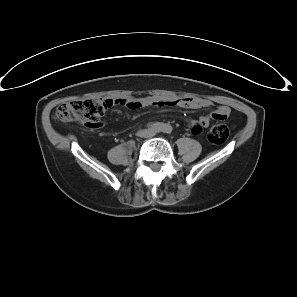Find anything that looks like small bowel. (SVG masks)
I'll return each instance as SVG.
<instances>
[{
    "instance_id": "1",
    "label": "small bowel",
    "mask_w": 297,
    "mask_h": 297,
    "mask_svg": "<svg viewBox=\"0 0 297 297\" xmlns=\"http://www.w3.org/2000/svg\"><path fill=\"white\" fill-rule=\"evenodd\" d=\"M112 104L122 105L130 109H138L145 107H179L183 109L196 110L212 106V102L201 98H172V99H154L145 97L135 99L132 97L118 98L111 100ZM230 115V108L225 105L217 106L216 110L211 114L204 115L199 120H190L188 126L194 134H199L202 128L208 127L211 121H224ZM84 128L90 131H101L108 128L106 120L97 121L96 119H87Z\"/></svg>"
}]
</instances>
